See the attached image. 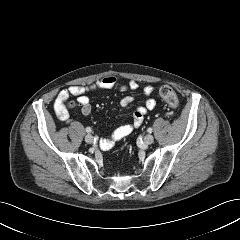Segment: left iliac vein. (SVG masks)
Returning <instances> with one entry per match:
<instances>
[{
  "label": "left iliac vein",
  "mask_w": 240,
  "mask_h": 240,
  "mask_svg": "<svg viewBox=\"0 0 240 240\" xmlns=\"http://www.w3.org/2000/svg\"><path fill=\"white\" fill-rule=\"evenodd\" d=\"M153 142H154V137H153L152 135L148 134V135H146V136L144 137V143H145L146 145H150V144H152Z\"/></svg>",
  "instance_id": "left-iliac-vein-1"
}]
</instances>
